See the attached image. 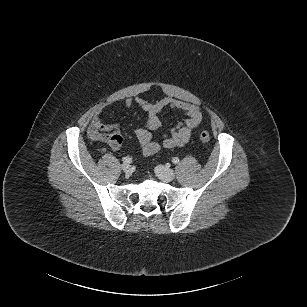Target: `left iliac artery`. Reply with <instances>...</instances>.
<instances>
[{
  "label": "left iliac artery",
  "mask_w": 307,
  "mask_h": 307,
  "mask_svg": "<svg viewBox=\"0 0 307 307\" xmlns=\"http://www.w3.org/2000/svg\"><path fill=\"white\" fill-rule=\"evenodd\" d=\"M172 162H173L174 164H178V163H179V158H178V157H174V158L172 159Z\"/></svg>",
  "instance_id": "44dca946"
}]
</instances>
